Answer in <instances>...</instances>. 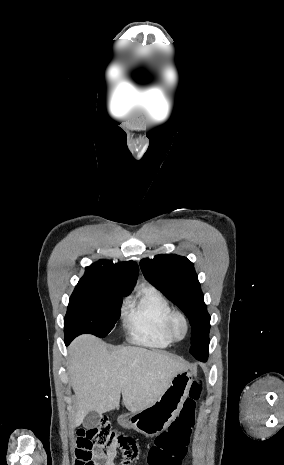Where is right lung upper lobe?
I'll return each instance as SVG.
<instances>
[{"mask_svg":"<svg viewBox=\"0 0 284 465\" xmlns=\"http://www.w3.org/2000/svg\"><path fill=\"white\" fill-rule=\"evenodd\" d=\"M139 268L133 261L113 264L109 260H99L86 267L78 284L94 285L128 295L137 280Z\"/></svg>","mask_w":284,"mask_h":465,"instance_id":"right-lung-upper-lobe-1","label":"right lung upper lobe"}]
</instances>
